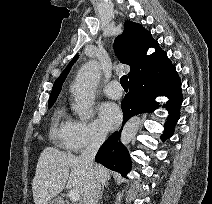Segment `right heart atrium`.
Segmentation results:
<instances>
[{"label": "right heart atrium", "instance_id": "right-heart-atrium-1", "mask_svg": "<svg viewBox=\"0 0 212 204\" xmlns=\"http://www.w3.org/2000/svg\"><path fill=\"white\" fill-rule=\"evenodd\" d=\"M105 137L106 132L98 122L73 120L69 136V149L80 152L87 147L101 144Z\"/></svg>", "mask_w": 212, "mask_h": 204}]
</instances>
